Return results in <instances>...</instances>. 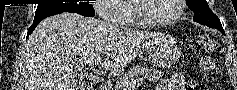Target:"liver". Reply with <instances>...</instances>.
<instances>
[{
  "instance_id": "6515ba94",
  "label": "liver",
  "mask_w": 237,
  "mask_h": 90,
  "mask_svg": "<svg viewBox=\"0 0 237 90\" xmlns=\"http://www.w3.org/2000/svg\"><path fill=\"white\" fill-rule=\"evenodd\" d=\"M159 40L161 36L152 32L120 30L118 24L79 14L50 16L26 42L21 58L25 90H82L77 84L82 68L119 72Z\"/></svg>"
}]
</instances>
